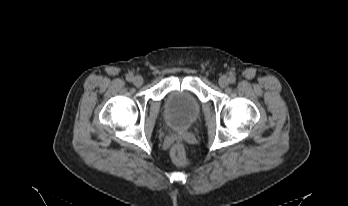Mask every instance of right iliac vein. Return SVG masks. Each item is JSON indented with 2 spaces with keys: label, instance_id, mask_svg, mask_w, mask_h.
<instances>
[{
  "label": "right iliac vein",
  "instance_id": "obj_1",
  "mask_svg": "<svg viewBox=\"0 0 348 206\" xmlns=\"http://www.w3.org/2000/svg\"><path fill=\"white\" fill-rule=\"evenodd\" d=\"M133 84L137 87L141 86L143 84V78L139 75L135 76L133 78Z\"/></svg>",
  "mask_w": 348,
  "mask_h": 206
}]
</instances>
